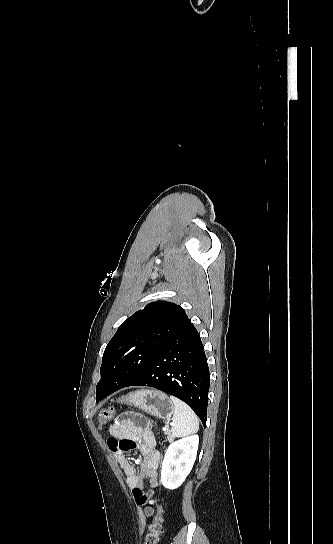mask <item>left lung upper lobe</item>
Here are the masks:
<instances>
[{
  "label": "left lung upper lobe",
  "mask_w": 333,
  "mask_h": 544,
  "mask_svg": "<svg viewBox=\"0 0 333 544\" xmlns=\"http://www.w3.org/2000/svg\"><path fill=\"white\" fill-rule=\"evenodd\" d=\"M187 318L181 306L166 301L149 303L127 318L105 348L96 394L133 381Z\"/></svg>",
  "instance_id": "1"
}]
</instances>
